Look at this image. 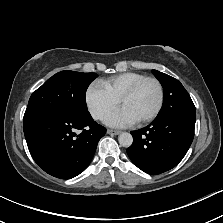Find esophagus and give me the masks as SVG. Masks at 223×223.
<instances>
[{
	"instance_id": "obj_1",
	"label": "esophagus",
	"mask_w": 223,
	"mask_h": 223,
	"mask_svg": "<svg viewBox=\"0 0 223 223\" xmlns=\"http://www.w3.org/2000/svg\"><path fill=\"white\" fill-rule=\"evenodd\" d=\"M107 133L110 135H118V134H120V131L107 129Z\"/></svg>"
}]
</instances>
